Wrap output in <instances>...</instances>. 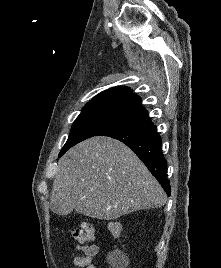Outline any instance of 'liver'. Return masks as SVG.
Here are the masks:
<instances>
[{
	"label": "liver",
	"instance_id": "6515ba94",
	"mask_svg": "<svg viewBox=\"0 0 221 268\" xmlns=\"http://www.w3.org/2000/svg\"><path fill=\"white\" fill-rule=\"evenodd\" d=\"M166 201L161 185L131 149L109 137H92L59 161L50 207L58 215L75 210L114 220Z\"/></svg>",
	"mask_w": 221,
	"mask_h": 268
}]
</instances>
